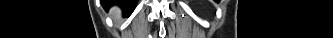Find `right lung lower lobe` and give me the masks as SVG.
Listing matches in <instances>:
<instances>
[{"label":"right lung lower lobe","mask_w":333,"mask_h":38,"mask_svg":"<svg viewBox=\"0 0 333 38\" xmlns=\"http://www.w3.org/2000/svg\"><path fill=\"white\" fill-rule=\"evenodd\" d=\"M136 1H118L117 3H119L124 9H126V5L128 4H135Z\"/></svg>","instance_id":"98d812e1"}]
</instances>
